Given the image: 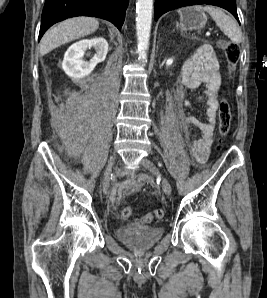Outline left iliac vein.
I'll return each instance as SVG.
<instances>
[{
    "instance_id": "obj_1",
    "label": "left iliac vein",
    "mask_w": 267,
    "mask_h": 298,
    "mask_svg": "<svg viewBox=\"0 0 267 298\" xmlns=\"http://www.w3.org/2000/svg\"><path fill=\"white\" fill-rule=\"evenodd\" d=\"M141 164L147 169L149 170L152 174L156 175V176H160L158 168L156 167V165L149 159L147 158H143L141 160ZM161 184H162V189L164 191V193L166 195H170L171 194V185L169 183V181L164 178L161 177Z\"/></svg>"
}]
</instances>
